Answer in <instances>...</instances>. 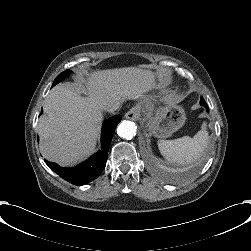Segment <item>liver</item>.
Listing matches in <instances>:
<instances>
[{
    "mask_svg": "<svg viewBox=\"0 0 251 251\" xmlns=\"http://www.w3.org/2000/svg\"><path fill=\"white\" fill-rule=\"evenodd\" d=\"M79 80L49 92L36 127L42 156L63 168L94 152L108 104L149 99L159 88L157 73L141 66L84 71Z\"/></svg>",
    "mask_w": 251,
    "mask_h": 251,
    "instance_id": "6515ba94",
    "label": "liver"
}]
</instances>
